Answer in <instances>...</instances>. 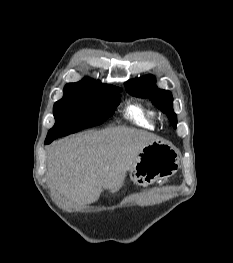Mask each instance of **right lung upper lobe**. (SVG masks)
I'll list each match as a JSON object with an SVG mask.
<instances>
[{
  "mask_svg": "<svg viewBox=\"0 0 233 263\" xmlns=\"http://www.w3.org/2000/svg\"><path fill=\"white\" fill-rule=\"evenodd\" d=\"M120 89L116 86L103 84L90 78H84L76 83H69L64 87V97L69 96H94Z\"/></svg>",
  "mask_w": 233,
  "mask_h": 263,
  "instance_id": "right-lung-upper-lobe-1",
  "label": "right lung upper lobe"
}]
</instances>
